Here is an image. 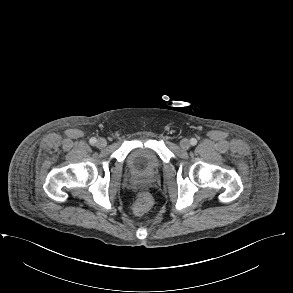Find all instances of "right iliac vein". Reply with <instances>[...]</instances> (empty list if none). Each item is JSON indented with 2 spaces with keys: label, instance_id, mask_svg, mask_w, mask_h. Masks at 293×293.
<instances>
[{
  "label": "right iliac vein",
  "instance_id": "1",
  "mask_svg": "<svg viewBox=\"0 0 293 293\" xmlns=\"http://www.w3.org/2000/svg\"><path fill=\"white\" fill-rule=\"evenodd\" d=\"M96 144L99 148H104L107 145V141L104 138H100Z\"/></svg>",
  "mask_w": 293,
  "mask_h": 293
}]
</instances>
